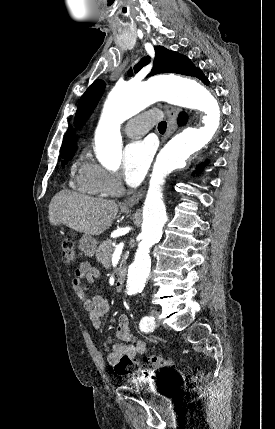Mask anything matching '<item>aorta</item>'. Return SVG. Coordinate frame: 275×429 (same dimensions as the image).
Instances as JSON below:
<instances>
[{
	"instance_id": "1",
	"label": "aorta",
	"mask_w": 275,
	"mask_h": 429,
	"mask_svg": "<svg viewBox=\"0 0 275 429\" xmlns=\"http://www.w3.org/2000/svg\"><path fill=\"white\" fill-rule=\"evenodd\" d=\"M203 112V126L188 127L175 135L161 150L153 170L143 207V224L134 262L129 266L126 293L140 292L149 277V249L157 243L167 221L162 200L165 177L184 167L190 155L199 151L219 127L221 110L217 97L200 82L180 77H160L148 82H127L110 92L95 134V152L101 163L117 170L121 161L120 124L156 101Z\"/></svg>"
}]
</instances>
